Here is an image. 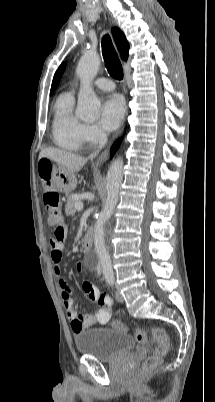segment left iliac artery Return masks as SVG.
Masks as SVG:
<instances>
[{
  "mask_svg": "<svg viewBox=\"0 0 215 402\" xmlns=\"http://www.w3.org/2000/svg\"><path fill=\"white\" fill-rule=\"evenodd\" d=\"M107 282H108L109 285H113L114 284V278L113 277L107 278Z\"/></svg>",
  "mask_w": 215,
  "mask_h": 402,
  "instance_id": "1",
  "label": "left iliac artery"
}]
</instances>
